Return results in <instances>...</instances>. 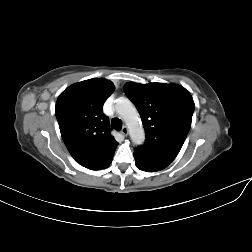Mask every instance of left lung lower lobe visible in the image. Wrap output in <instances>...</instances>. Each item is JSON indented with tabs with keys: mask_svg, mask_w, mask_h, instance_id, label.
Instances as JSON below:
<instances>
[{
	"mask_svg": "<svg viewBox=\"0 0 252 252\" xmlns=\"http://www.w3.org/2000/svg\"><path fill=\"white\" fill-rule=\"evenodd\" d=\"M135 164L138 169L147 172H157L166 168L172 160L159 154L145 151L139 147L134 150Z\"/></svg>",
	"mask_w": 252,
	"mask_h": 252,
	"instance_id": "0a47b994",
	"label": "left lung lower lobe"
}]
</instances>
